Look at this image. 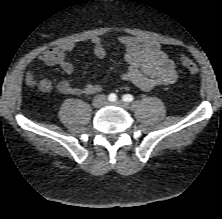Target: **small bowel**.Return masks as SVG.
<instances>
[{
    "mask_svg": "<svg viewBox=\"0 0 222 219\" xmlns=\"http://www.w3.org/2000/svg\"><path fill=\"white\" fill-rule=\"evenodd\" d=\"M118 41L126 48L124 60L127 69L121 74L123 80L131 82L144 91L171 85L177 81L178 73L175 62L162 50L158 42L129 35L119 36ZM105 46L106 41L104 39L100 37L93 38L92 50L96 57L104 58L106 56ZM73 49V43H65L42 52L38 60L40 63L48 65H59L65 73L73 74L75 67L68 60V54ZM32 86H36L41 92L45 93L55 88L62 94L72 95H91L100 92L102 89L96 83L75 86L68 80H62L54 85L48 77L37 79Z\"/></svg>",
    "mask_w": 222,
    "mask_h": 219,
    "instance_id": "small-bowel-1",
    "label": "small bowel"
}]
</instances>
